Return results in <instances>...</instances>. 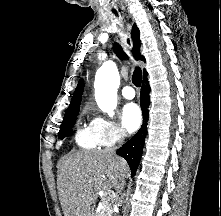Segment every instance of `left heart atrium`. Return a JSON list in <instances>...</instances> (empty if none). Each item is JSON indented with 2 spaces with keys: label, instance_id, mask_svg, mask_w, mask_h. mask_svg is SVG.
Returning a JSON list of instances; mask_svg holds the SVG:
<instances>
[{
  "label": "left heart atrium",
  "instance_id": "1",
  "mask_svg": "<svg viewBox=\"0 0 221 216\" xmlns=\"http://www.w3.org/2000/svg\"><path fill=\"white\" fill-rule=\"evenodd\" d=\"M140 108L135 103H128L122 110V123L128 132L136 131L141 124Z\"/></svg>",
  "mask_w": 221,
  "mask_h": 216
}]
</instances>
